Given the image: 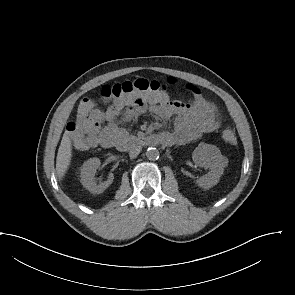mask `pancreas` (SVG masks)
Listing matches in <instances>:
<instances>
[{"mask_svg":"<svg viewBox=\"0 0 295 295\" xmlns=\"http://www.w3.org/2000/svg\"><path fill=\"white\" fill-rule=\"evenodd\" d=\"M131 139L134 140V139H136V137L135 136H132Z\"/></svg>","mask_w":295,"mask_h":295,"instance_id":"pancreas-1","label":"pancreas"}]
</instances>
